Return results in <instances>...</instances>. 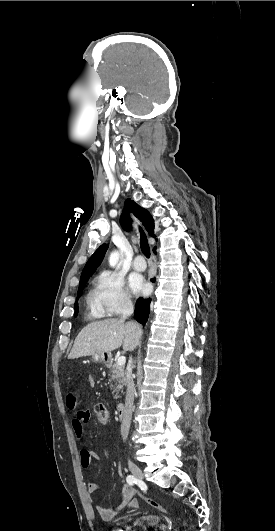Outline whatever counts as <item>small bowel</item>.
<instances>
[{"label": "small bowel", "mask_w": 275, "mask_h": 531, "mask_svg": "<svg viewBox=\"0 0 275 531\" xmlns=\"http://www.w3.org/2000/svg\"><path fill=\"white\" fill-rule=\"evenodd\" d=\"M85 381L87 383H92L94 381V376L92 374H87L85 376ZM70 407H73L74 402L70 401L68 404ZM90 420V412L88 410H78L75 412L72 421H71V427L73 429V432L75 436L78 438L80 445L82 447L80 452V458H81V464L83 467H88L91 464L92 460H100L101 456L90 449L85 448L84 443V433H85V425ZM99 489V485L95 482H89L87 484V491L88 493L92 494L95 493ZM136 491L133 487L129 485H125L122 490V498L121 501L112 509H106L99 505H95V509L97 510L99 516L102 520L108 521L114 518L115 516L119 515L125 510H131L135 509L139 506V503L137 499L134 498Z\"/></svg>", "instance_id": "obj_1"}]
</instances>
